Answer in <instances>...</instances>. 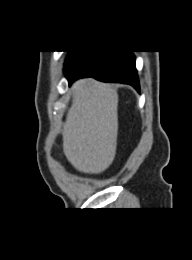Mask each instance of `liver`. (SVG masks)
Wrapping results in <instances>:
<instances>
[{
	"label": "liver",
	"instance_id": "6515ba94",
	"mask_svg": "<svg viewBox=\"0 0 192 260\" xmlns=\"http://www.w3.org/2000/svg\"><path fill=\"white\" fill-rule=\"evenodd\" d=\"M118 95L109 84L80 79L63 127V151L75 169L99 174L113 162L117 144Z\"/></svg>",
	"mask_w": 192,
	"mask_h": 260
}]
</instances>
